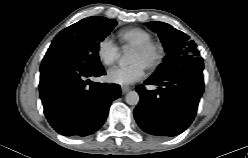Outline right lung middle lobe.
Returning <instances> with one entry per match:
<instances>
[{
    "instance_id": "1",
    "label": "right lung middle lobe",
    "mask_w": 248,
    "mask_h": 158,
    "mask_svg": "<svg viewBox=\"0 0 248 158\" xmlns=\"http://www.w3.org/2000/svg\"><path fill=\"white\" fill-rule=\"evenodd\" d=\"M116 24L115 20L100 16L82 19L62 30L52 41L45 56L84 62L99 61V44Z\"/></svg>"
}]
</instances>
